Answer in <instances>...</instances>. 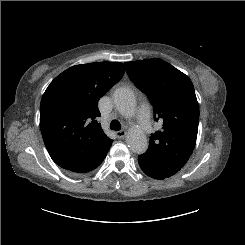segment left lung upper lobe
<instances>
[{
    "label": "left lung upper lobe",
    "instance_id": "5c2ea615",
    "mask_svg": "<svg viewBox=\"0 0 245 245\" xmlns=\"http://www.w3.org/2000/svg\"><path fill=\"white\" fill-rule=\"evenodd\" d=\"M130 79L149 98L154 119L162 130L150 136L147 152L160 154L184 166L197 138L199 106L187 75L159 59L126 62Z\"/></svg>",
    "mask_w": 245,
    "mask_h": 245
}]
</instances>
